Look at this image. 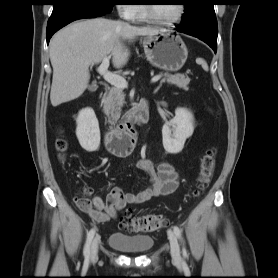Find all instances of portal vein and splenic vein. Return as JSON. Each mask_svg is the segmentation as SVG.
<instances>
[{
  "label": "portal vein and splenic vein",
  "instance_id": "1",
  "mask_svg": "<svg viewBox=\"0 0 278 278\" xmlns=\"http://www.w3.org/2000/svg\"><path fill=\"white\" fill-rule=\"evenodd\" d=\"M109 60H110V57L105 56L102 60L101 65L98 67L97 71L99 72V74H101L103 76L105 81H107L111 85H114L115 87L120 88V89L127 88L128 83L125 80V78L108 71ZM160 79H161V76L157 75L151 79V82L155 83V82L159 81Z\"/></svg>",
  "mask_w": 278,
  "mask_h": 278
}]
</instances>
